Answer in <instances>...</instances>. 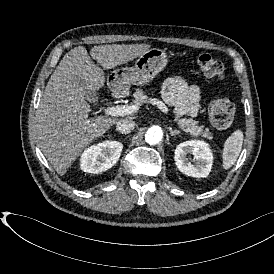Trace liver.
Here are the masks:
<instances>
[{
  "label": "liver",
  "mask_w": 274,
  "mask_h": 274,
  "mask_svg": "<svg viewBox=\"0 0 274 274\" xmlns=\"http://www.w3.org/2000/svg\"><path fill=\"white\" fill-rule=\"evenodd\" d=\"M151 48L149 44L77 46L64 55L46 84L36 112L39 147L58 174L65 175L83 151L104 136L119 119L89 117V93L105 86L104 71L127 63Z\"/></svg>",
  "instance_id": "1"
}]
</instances>
